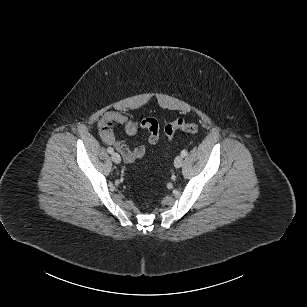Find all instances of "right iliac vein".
I'll return each mask as SVG.
<instances>
[{"instance_id": "right-iliac-vein-1", "label": "right iliac vein", "mask_w": 307, "mask_h": 307, "mask_svg": "<svg viewBox=\"0 0 307 307\" xmlns=\"http://www.w3.org/2000/svg\"><path fill=\"white\" fill-rule=\"evenodd\" d=\"M111 158H112L113 162L116 163V164H119L121 162V157L116 152L112 153Z\"/></svg>"}]
</instances>
